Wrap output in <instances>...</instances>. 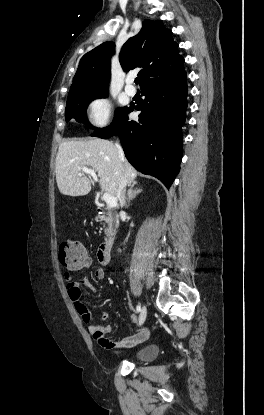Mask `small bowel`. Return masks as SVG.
I'll use <instances>...</instances> for the list:
<instances>
[{"instance_id":"c3829d8e","label":"small bowel","mask_w":264,"mask_h":415,"mask_svg":"<svg viewBox=\"0 0 264 415\" xmlns=\"http://www.w3.org/2000/svg\"><path fill=\"white\" fill-rule=\"evenodd\" d=\"M83 267L79 268L82 269ZM106 275V272L103 267H98L94 270V277L96 279H103ZM66 291L74 303L77 312L82 317L83 321L89 322L92 319V316L86 310L82 302V286H88L92 291L95 289L87 282L84 277H71L68 273H65ZM97 318H109L110 315L107 313H101L96 315ZM137 319L136 314H131L127 317L128 323H134ZM113 330L112 326L109 324L100 325V324H89L88 331L93 336V338L98 342V344L105 349H121L131 347L140 343L145 342L150 336V330L144 329L138 333L125 336L121 339L111 340L106 338L108 333H111Z\"/></svg>"}]
</instances>
